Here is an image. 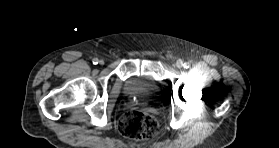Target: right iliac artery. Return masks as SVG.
Wrapping results in <instances>:
<instances>
[{
  "label": "right iliac artery",
  "mask_w": 279,
  "mask_h": 148,
  "mask_svg": "<svg viewBox=\"0 0 279 148\" xmlns=\"http://www.w3.org/2000/svg\"><path fill=\"white\" fill-rule=\"evenodd\" d=\"M92 62H93L94 65H96V64H98V59H97V58H94V59L92 60Z\"/></svg>",
  "instance_id": "right-iliac-artery-1"
}]
</instances>
